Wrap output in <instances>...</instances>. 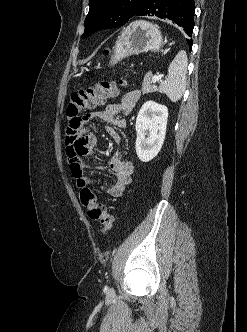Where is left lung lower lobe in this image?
Wrapping results in <instances>:
<instances>
[{
	"instance_id": "obj_1",
	"label": "left lung lower lobe",
	"mask_w": 247,
	"mask_h": 332,
	"mask_svg": "<svg viewBox=\"0 0 247 332\" xmlns=\"http://www.w3.org/2000/svg\"><path fill=\"white\" fill-rule=\"evenodd\" d=\"M194 0H146L135 16H157L169 19L183 27L189 37L194 28ZM189 48L193 44L192 39L186 40Z\"/></svg>"
}]
</instances>
